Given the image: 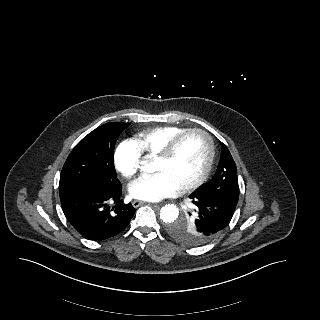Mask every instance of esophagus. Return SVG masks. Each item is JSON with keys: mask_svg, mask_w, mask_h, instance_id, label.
<instances>
[{"mask_svg": "<svg viewBox=\"0 0 320 320\" xmlns=\"http://www.w3.org/2000/svg\"><path fill=\"white\" fill-rule=\"evenodd\" d=\"M145 203H146V202H144V201L134 200V201L132 202V205H133V207L137 208V207H139L140 205H143V204H145Z\"/></svg>", "mask_w": 320, "mask_h": 320, "instance_id": "1", "label": "esophagus"}]
</instances>
